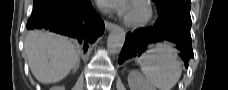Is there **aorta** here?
Wrapping results in <instances>:
<instances>
[{"label":"aorta","mask_w":228,"mask_h":90,"mask_svg":"<svg viewBox=\"0 0 228 90\" xmlns=\"http://www.w3.org/2000/svg\"><path fill=\"white\" fill-rule=\"evenodd\" d=\"M125 36V31L122 28H115L107 39L108 50L113 54L120 52L125 42Z\"/></svg>","instance_id":"762f6f07"}]
</instances>
